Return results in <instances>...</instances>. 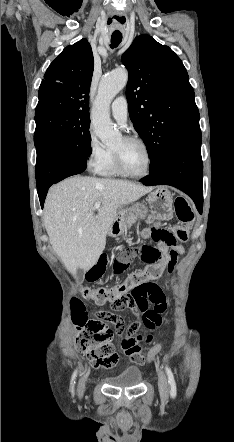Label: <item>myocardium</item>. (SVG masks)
Here are the masks:
<instances>
[{
  "instance_id": "myocardium-1",
  "label": "myocardium",
  "mask_w": 234,
  "mask_h": 442,
  "mask_svg": "<svg viewBox=\"0 0 234 442\" xmlns=\"http://www.w3.org/2000/svg\"><path fill=\"white\" fill-rule=\"evenodd\" d=\"M123 140L130 143H137L140 146H142V148L146 153L147 163H146V168L143 172L131 173L125 169L120 153L118 151L113 150L114 164L118 173L125 177L134 178V179H140L148 176L151 171L152 161H153L152 152L149 145L143 139L136 136H125L123 137Z\"/></svg>"
}]
</instances>
